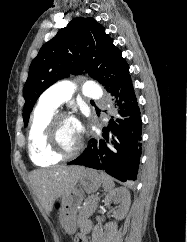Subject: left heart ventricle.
Returning <instances> with one entry per match:
<instances>
[{"label":"left heart ventricle","mask_w":187,"mask_h":242,"mask_svg":"<svg viewBox=\"0 0 187 242\" xmlns=\"http://www.w3.org/2000/svg\"><path fill=\"white\" fill-rule=\"evenodd\" d=\"M55 139L56 146L64 152L71 151L76 147L79 141V134L77 133L72 120H62L58 123Z\"/></svg>","instance_id":"left-heart-ventricle-1"}]
</instances>
